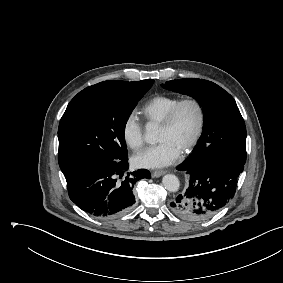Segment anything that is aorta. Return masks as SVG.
Segmentation results:
<instances>
[{
    "mask_svg": "<svg viewBox=\"0 0 283 283\" xmlns=\"http://www.w3.org/2000/svg\"><path fill=\"white\" fill-rule=\"evenodd\" d=\"M145 141L149 144L158 142V128L155 124L148 123L145 128ZM164 188L169 192H176L180 187L179 179L173 174H167L163 177Z\"/></svg>",
    "mask_w": 283,
    "mask_h": 283,
    "instance_id": "obj_1",
    "label": "aorta"
}]
</instances>
